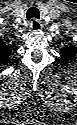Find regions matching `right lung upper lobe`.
<instances>
[{"mask_svg":"<svg viewBox=\"0 0 77 125\" xmlns=\"http://www.w3.org/2000/svg\"><path fill=\"white\" fill-rule=\"evenodd\" d=\"M11 55V49L4 43L0 42V60L1 62H6Z\"/></svg>","mask_w":77,"mask_h":125,"instance_id":"obj_1","label":"right lung upper lobe"}]
</instances>
